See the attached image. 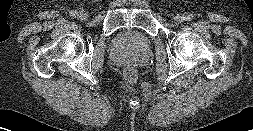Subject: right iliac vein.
<instances>
[{
	"instance_id": "right-iliac-vein-1",
	"label": "right iliac vein",
	"mask_w": 253,
	"mask_h": 131,
	"mask_svg": "<svg viewBox=\"0 0 253 131\" xmlns=\"http://www.w3.org/2000/svg\"><path fill=\"white\" fill-rule=\"evenodd\" d=\"M78 18L80 19V20H82V21H85V20H87L88 19V14L86 13V12H79L78 13Z\"/></svg>"
}]
</instances>
